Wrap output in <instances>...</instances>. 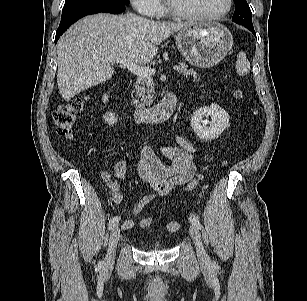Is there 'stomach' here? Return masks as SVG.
<instances>
[{
    "label": "stomach",
    "instance_id": "1",
    "mask_svg": "<svg viewBox=\"0 0 307 301\" xmlns=\"http://www.w3.org/2000/svg\"><path fill=\"white\" fill-rule=\"evenodd\" d=\"M176 45L191 65L206 68L224 59L232 48L233 37L219 23H190L177 33Z\"/></svg>",
    "mask_w": 307,
    "mask_h": 301
}]
</instances>
